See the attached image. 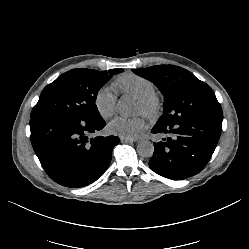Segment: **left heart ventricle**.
I'll return each instance as SVG.
<instances>
[{
  "instance_id": "left-heart-ventricle-1",
  "label": "left heart ventricle",
  "mask_w": 249,
  "mask_h": 249,
  "mask_svg": "<svg viewBox=\"0 0 249 249\" xmlns=\"http://www.w3.org/2000/svg\"><path fill=\"white\" fill-rule=\"evenodd\" d=\"M138 112H142L141 105L138 103Z\"/></svg>"
}]
</instances>
